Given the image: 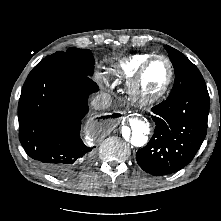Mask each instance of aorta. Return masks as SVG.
<instances>
[{"instance_id":"1","label":"aorta","mask_w":221,"mask_h":221,"mask_svg":"<svg viewBox=\"0 0 221 221\" xmlns=\"http://www.w3.org/2000/svg\"><path fill=\"white\" fill-rule=\"evenodd\" d=\"M150 132L149 123L141 117L129 119V124L122 127L121 137L123 141L136 147H142L146 144Z\"/></svg>"}]
</instances>
